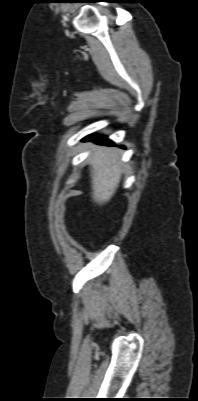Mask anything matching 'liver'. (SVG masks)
<instances>
[{"instance_id": "1", "label": "liver", "mask_w": 198, "mask_h": 401, "mask_svg": "<svg viewBox=\"0 0 198 401\" xmlns=\"http://www.w3.org/2000/svg\"><path fill=\"white\" fill-rule=\"evenodd\" d=\"M92 198L102 205L114 195L120 179L121 164L118 155L111 150L100 148L91 157Z\"/></svg>"}]
</instances>
